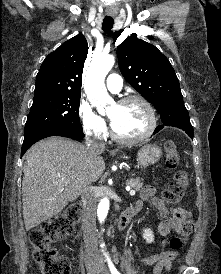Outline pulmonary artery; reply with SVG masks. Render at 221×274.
<instances>
[{
    "label": "pulmonary artery",
    "instance_id": "e3ab8cb5",
    "mask_svg": "<svg viewBox=\"0 0 221 274\" xmlns=\"http://www.w3.org/2000/svg\"><path fill=\"white\" fill-rule=\"evenodd\" d=\"M106 86L109 91L118 93L122 88V79L118 74H110L106 80Z\"/></svg>",
    "mask_w": 221,
    "mask_h": 274
}]
</instances>
